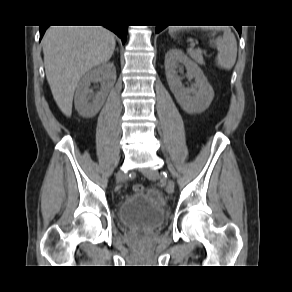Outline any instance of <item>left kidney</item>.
I'll return each instance as SVG.
<instances>
[{"label":"left kidney","instance_id":"left-kidney-1","mask_svg":"<svg viewBox=\"0 0 292 292\" xmlns=\"http://www.w3.org/2000/svg\"><path fill=\"white\" fill-rule=\"evenodd\" d=\"M183 64L187 70V77L194 78L191 88H185L176 69ZM165 72L168 85L178 104L189 114L205 111L211 104L214 91L200 67L184 53L177 49H170L165 55Z\"/></svg>","mask_w":292,"mask_h":292}]
</instances>
